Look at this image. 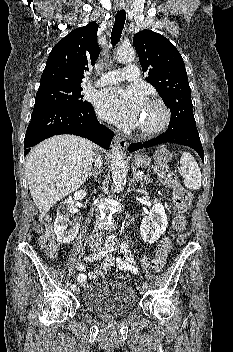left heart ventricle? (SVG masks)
<instances>
[{
    "label": "left heart ventricle",
    "mask_w": 233,
    "mask_h": 352,
    "mask_svg": "<svg viewBox=\"0 0 233 352\" xmlns=\"http://www.w3.org/2000/svg\"><path fill=\"white\" fill-rule=\"evenodd\" d=\"M161 118V112L159 108L149 102H145L144 107L141 111L138 127H150L155 125Z\"/></svg>",
    "instance_id": "left-heart-ventricle-1"
}]
</instances>
